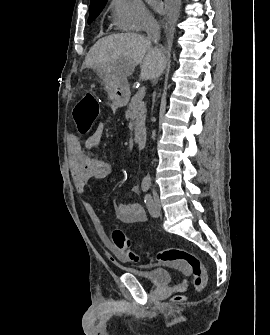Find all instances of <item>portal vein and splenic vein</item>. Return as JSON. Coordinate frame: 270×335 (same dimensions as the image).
<instances>
[{
    "label": "portal vein and splenic vein",
    "mask_w": 270,
    "mask_h": 335,
    "mask_svg": "<svg viewBox=\"0 0 270 335\" xmlns=\"http://www.w3.org/2000/svg\"><path fill=\"white\" fill-rule=\"evenodd\" d=\"M147 91V88L145 86H142L141 88H137L136 90V101H143L144 99V93Z\"/></svg>",
    "instance_id": "obj_1"
}]
</instances>
